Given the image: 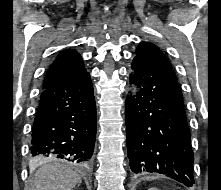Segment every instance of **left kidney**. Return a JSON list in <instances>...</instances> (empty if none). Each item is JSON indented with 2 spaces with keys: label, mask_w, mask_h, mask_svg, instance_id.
I'll list each match as a JSON object with an SVG mask.
<instances>
[{
  "label": "left kidney",
  "mask_w": 221,
  "mask_h": 190,
  "mask_svg": "<svg viewBox=\"0 0 221 190\" xmlns=\"http://www.w3.org/2000/svg\"><path fill=\"white\" fill-rule=\"evenodd\" d=\"M148 190H158V189H156V188H149Z\"/></svg>",
  "instance_id": "5707ae66"
}]
</instances>
